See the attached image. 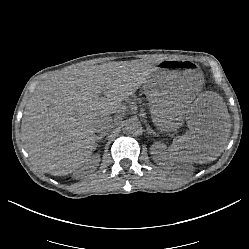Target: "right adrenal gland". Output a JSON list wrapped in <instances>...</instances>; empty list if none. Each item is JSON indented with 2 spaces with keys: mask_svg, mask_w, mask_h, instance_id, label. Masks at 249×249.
Segmentation results:
<instances>
[{
  "mask_svg": "<svg viewBox=\"0 0 249 249\" xmlns=\"http://www.w3.org/2000/svg\"><path fill=\"white\" fill-rule=\"evenodd\" d=\"M105 133H100V135L95 136L96 142H99L100 140H102L105 137ZM97 147V144H96Z\"/></svg>",
  "mask_w": 249,
  "mask_h": 249,
  "instance_id": "1",
  "label": "right adrenal gland"
}]
</instances>
